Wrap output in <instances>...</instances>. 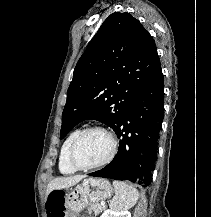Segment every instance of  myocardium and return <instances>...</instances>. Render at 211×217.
<instances>
[{"label": "myocardium", "instance_id": "f54148a6", "mask_svg": "<svg viewBox=\"0 0 211 217\" xmlns=\"http://www.w3.org/2000/svg\"><path fill=\"white\" fill-rule=\"evenodd\" d=\"M92 131H100V132L105 133L110 139L111 149H110L108 156L105 159H103L102 161L95 163V164H92V165H81L76 160V156H75L76 149L78 147V144L82 140V138L87 133L92 132ZM116 153H117V141H116V138L113 135V133L102 126H89V127L82 129L79 132V134L75 137V139L73 140V142L70 146L68 157H69L70 164L74 168H76L77 170H91V169L100 168V167H103V166L109 164L114 159Z\"/></svg>", "mask_w": 211, "mask_h": 217}]
</instances>
